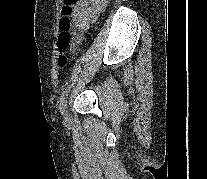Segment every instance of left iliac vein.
Listing matches in <instances>:
<instances>
[{"instance_id":"left-iliac-vein-1","label":"left iliac vein","mask_w":207,"mask_h":179,"mask_svg":"<svg viewBox=\"0 0 207 179\" xmlns=\"http://www.w3.org/2000/svg\"><path fill=\"white\" fill-rule=\"evenodd\" d=\"M62 115H63V118H64L65 122L70 120V115H69V112H68V109H67V105L65 106V109L63 110Z\"/></svg>"}]
</instances>
